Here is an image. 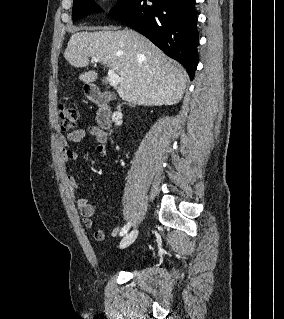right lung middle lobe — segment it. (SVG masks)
<instances>
[{"label":"right lung middle lobe","instance_id":"1","mask_svg":"<svg viewBox=\"0 0 284 319\" xmlns=\"http://www.w3.org/2000/svg\"><path fill=\"white\" fill-rule=\"evenodd\" d=\"M131 1L132 0H119V3L114 8L128 4ZM101 11L102 9L95 4L94 0H73L72 18L74 21L91 13Z\"/></svg>","mask_w":284,"mask_h":319}]
</instances>
